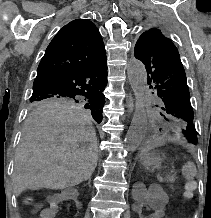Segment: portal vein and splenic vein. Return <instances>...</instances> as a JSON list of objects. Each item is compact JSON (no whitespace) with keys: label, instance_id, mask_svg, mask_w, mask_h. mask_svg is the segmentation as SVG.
<instances>
[{"label":"portal vein and splenic vein","instance_id":"obj_1","mask_svg":"<svg viewBox=\"0 0 211 218\" xmlns=\"http://www.w3.org/2000/svg\"><path fill=\"white\" fill-rule=\"evenodd\" d=\"M177 173H178L177 171H174V172L171 171V172H170L171 175H174V174L176 175Z\"/></svg>","mask_w":211,"mask_h":218}]
</instances>
